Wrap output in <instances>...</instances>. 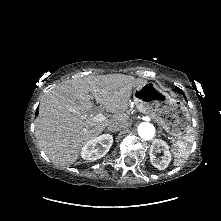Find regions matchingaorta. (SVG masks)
Masks as SVG:
<instances>
[{
	"label": "aorta",
	"mask_w": 221,
	"mask_h": 221,
	"mask_svg": "<svg viewBox=\"0 0 221 221\" xmlns=\"http://www.w3.org/2000/svg\"><path fill=\"white\" fill-rule=\"evenodd\" d=\"M138 134L139 136L144 140H150L154 137L155 134V128L154 126L149 122H142L138 126Z\"/></svg>",
	"instance_id": "obj_1"
}]
</instances>
